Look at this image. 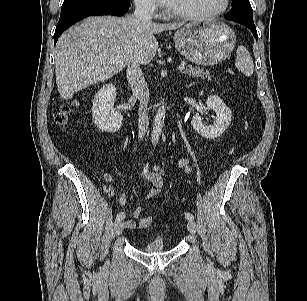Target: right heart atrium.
<instances>
[{
	"mask_svg": "<svg viewBox=\"0 0 307 301\" xmlns=\"http://www.w3.org/2000/svg\"><path fill=\"white\" fill-rule=\"evenodd\" d=\"M136 8L148 15L156 16L158 14V5L156 0H134Z\"/></svg>",
	"mask_w": 307,
	"mask_h": 301,
	"instance_id": "d8ad5b80",
	"label": "right heart atrium"
}]
</instances>
